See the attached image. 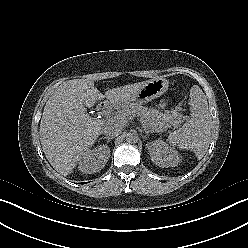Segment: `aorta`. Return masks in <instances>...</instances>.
Listing matches in <instances>:
<instances>
[{
	"label": "aorta",
	"mask_w": 248,
	"mask_h": 248,
	"mask_svg": "<svg viewBox=\"0 0 248 248\" xmlns=\"http://www.w3.org/2000/svg\"><path fill=\"white\" fill-rule=\"evenodd\" d=\"M139 140L138 133L136 131H129L126 134V141L129 143H136Z\"/></svg>",
	"instance_id": "aorta-1"
}]
</instances>
